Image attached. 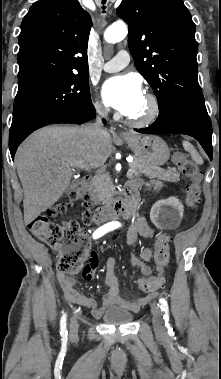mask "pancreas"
I'll use <instances>...</instances> for the list:
<instances>
[{
  "label": "pancreas",
  "instance_id": "obj_1",
  "mask_svg": "<svg viewBox=\"0 0 221 379\" xmlns=\"http://www.w3.org/2000/svg\"><path fill=\"white\" fill-rule=\"evenodd\" d=\"M129 168L135 175L144 174L150 178H158L168 182H178L180 180V174L176 169L165 170L150 166L137 158L129 164ZM92 194L94 199L102 202L112 200V197L115 195V187L108 175H100L94 180Z\"/></svg>",
  "mask_w": 221,
  "mask_h": 379
}]
</instances>
